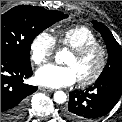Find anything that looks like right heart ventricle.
I'll use <instances>...</instances> for the list:
<instances>
[{
  "instance_id": "e07e8e85",
  "label": "right heart ventricle",
  "mask_w": 122,
  "mask_h": 122,
  "mask_svg": "<svg viewBox=\"0 0 122 122\" xmlns=\"http://www.w3.org/2000/svg\"><path fill=\"white\" fill-rule=\"evenodd\" d=\"M59 44L70 49H76L90 43L98 42L96 34L86 26H75L57 32Z\"/></svg>"
}]
</instances>
